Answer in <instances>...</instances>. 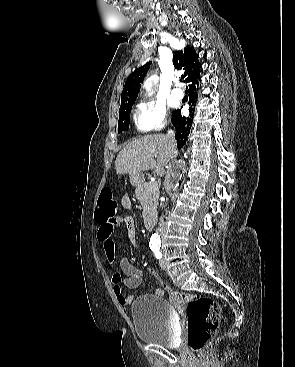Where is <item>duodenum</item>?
Instances as JSON below:
<instances>
[{"mask_svg":"<svg viewBox=\"0 0 295 367\" xmlns=\"http://www.w3.org/2000/svg\"><path fill=\"white\" fill-rule=\"evenodd\" d=\"M156 221V216L154 214H148L144 217V226L146 229H151Z\"/></svg>","mask_w":295,"mask_h":367,"instance_id":"duodenum-1","label":"duodenum"}]
</instances>
